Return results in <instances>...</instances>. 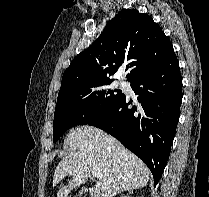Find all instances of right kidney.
Listing matches in <instances>:
<instances>
[{"instance_id": "ca27d5eb", "label": "right kidney", "mask_w": 209, "mask_h": 197, "mask_svg": "<svg viewBox=\"0 0 209 197\" xmlns=\"http://www.w3.org/2000/svg\"><path fill=\"white\" fill-rule=\"evenodd\" d=\"M121 197H131V196H129V195H123V196H121Z\"/></svg>"}]
</instances>
